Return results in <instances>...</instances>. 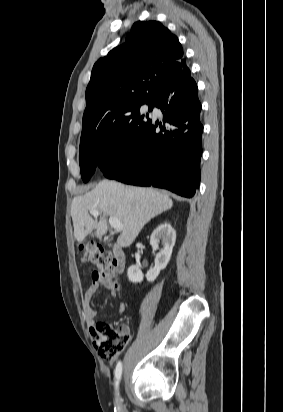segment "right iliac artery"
Returning a JSON list of instances; mask_svg holds the SVG:
<instances>
[{
	"instance_id": "1",
	"label": "right iliac artery",
	"mask_w": 283,
	"mask_h": 412,
	"mask_svg": "<svg viewBox=\"0 0 283 412\" xmlns=\"http://www.w3.org/2000/svg\"><path fill=\"white\" fill-rule=\"evenodd\" d=\"M121 375H122V363L119 361L115 369L116 388H118Z\"/></svg>"
}]
</instances>
